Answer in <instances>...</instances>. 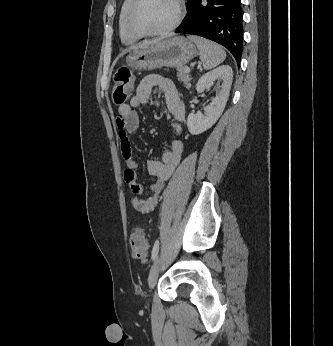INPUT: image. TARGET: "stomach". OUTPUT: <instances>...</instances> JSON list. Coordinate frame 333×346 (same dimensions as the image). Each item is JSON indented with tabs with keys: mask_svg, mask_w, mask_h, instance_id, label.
Returning a JSON list of instances; mask_svg holds the SVG:
<instances>
[{
	"mask_svg": "<svg viewBox=\"0 0 333 346\" xmlns=\"http://www.w3.org/2000/svg\"><path fill=\"white\" fill-rule=\"evenodd\" d=\"M198 54L188 39L176 36L134 49L127 57V65L135 70H154L161 67L180 68Z\"/></svg>",
	"mask_w": 333,
	"mask_h": 346,
	"instance_id": "stomach-1",
	"label": "stomach"
}]
</instances>
